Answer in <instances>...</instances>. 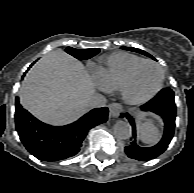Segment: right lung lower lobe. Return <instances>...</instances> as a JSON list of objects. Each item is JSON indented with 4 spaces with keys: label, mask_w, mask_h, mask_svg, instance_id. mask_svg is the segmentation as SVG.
<instances>
[{
    "label": "right lung lower lobe",
    "mask_w": 194,
    "mask_h": 193,
    "mask_svg": "<svg viewBox=\"0 0 194 193\" xmlns=\"http://www.w3.org/2000/svg\"><path fill=\"white\" fill-rule=\"evenodd\" d=\"M108 117V108H96L78 121L53 127L33 117L15 100V124L20 140L25 148L36 158L45 161H57L76 155L88 131L104 122Z\"/></svg>",
    "instance_id": "obj_1"
}]
</instances>
